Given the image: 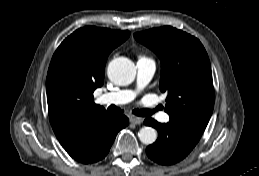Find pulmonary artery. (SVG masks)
Wrapping results in <instances>:
<instances>
[{"instance_id": "1", "label": "pulmonary artery", "mask_w": 259, "mask_h": 176, "mask_svg": "<svg viewBox=\"0 0 259 176\" xmlns=\"http://www.w3.org/2000/svg\"><path fill=\"white\" fill-rule=\"evenodd\" d=\"M137 87L135 90L123 89L110 93H105L99 97V101L103 104L123 105L131 102L136 97L138 91L142 90L152 79L156 71L155 62L146 57L137 60ZM169 115L161 113L159 120L161 122H169Z\"/></svg>"}]
</instances>
